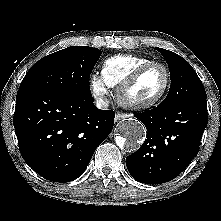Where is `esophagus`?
Masks as SVG:
<instances>
[{
    "instance_id": "1",
    "label": "esophagus",
    "mask_w": 221,
    "mask_h": 221,
    "mask_svg": "<svg viewBox=\"0 0 221 221\" xmlns=\"http://www.w3.org/2000/svg\"><path fill=\"white\" fill-rule=\"evenodd\" d=\"M125 118H127V114H125V113H117L115 115V122H118V121H120L122 119H125Z\"/></svg>"
}]
</instances>
